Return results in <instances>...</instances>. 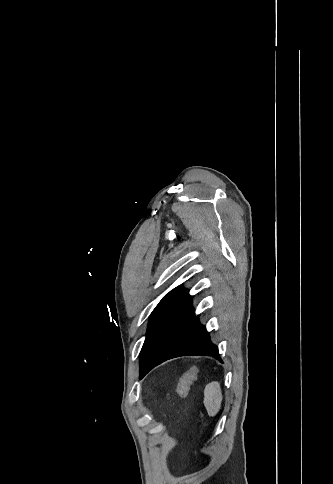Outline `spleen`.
<instances>
[{"label": "spleen", "instance_id": "1", "mask_svg": "<svg viewBox=\"0 0 333 484\" xmlns=\"http://www.w3.org/2000/svg\"><path fill=\"white\" fill-rule=\"evenodd\" d=\"M222 393L218 382H211L204 389V406L209 416L214 417L220 410Z\"/></svg>", "mask_w": 333, "mask_h": 484}]
</instances>
